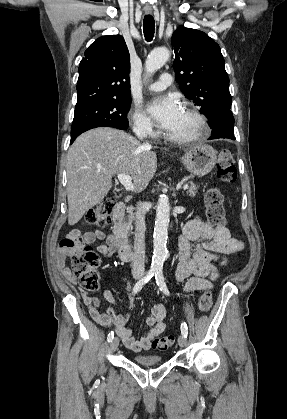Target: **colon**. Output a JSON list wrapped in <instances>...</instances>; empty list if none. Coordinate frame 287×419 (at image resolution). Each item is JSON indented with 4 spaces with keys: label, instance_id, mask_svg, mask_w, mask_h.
<instances>
[{
    "label": "colon",
    "instance_id": "colon-1",
    "mask_svg": "<svg viewBox=\"0 0 287 419\" xmlns=\"http://www.w3.org/2000/svg\"><path fill=\"white\" fill-rule=\"evenodd\" d=\"M217 176L227 183L236 181L237 170L230 150L224 149L219 153ZM223 203L224 197L218 189L210 188L207 190L205 194L207 217L214 226H223L226 222ZM114 206L113 199L102 200L88 212L86 223L100 227L109 225L112 221ZM60 248L71 258L72 273L78 278L80 286L87 291H97L99 283L96 269L100 263L98 254L80 237L74 235L64 237L61 240ZM237 251L235 250V252ZM211 306L212 293L205 291L199 299L198 307L200 311L207 312ZM174 339L173 335L157 337L153 340L152 347L159 351L167 350L173 345Z\"/></svg>",
    "mask_w": 287,
    "mask_h": 419
}]
</instances>
